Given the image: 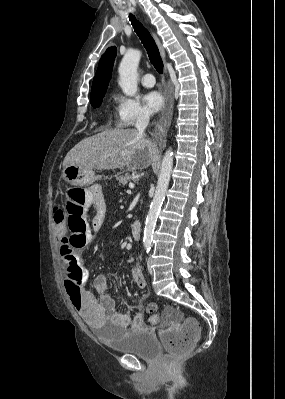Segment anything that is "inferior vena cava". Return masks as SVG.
I'll return each mask as SVG.
<instances>
[{"label": "inferior vena cava", "instance_id": "inferior-vena-cava-1", "mask_svg": "<svg viewBox=\"0 0 285 399\" xmlns=\"http://www.w3.org/2000/svg\"><path fill=\"white\" fill-rule=\"evenodd\" d=\"M149 123V115L146 113H141L136 121V129L142 135H144V131Z\"/></svg>", "mask_w": 285, "mask_h": 399}]
</instances>
